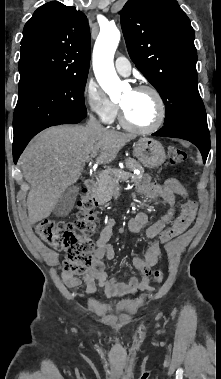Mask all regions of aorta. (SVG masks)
Wrapping results in <instances>:
<instances>
[{
  "label": "aorta",
  "instance_id": "aorta-1",
  "mask_svg": "<svg viewBox=\"0 0 221 379\" xmlns=\"http://www.w3.org/2000/svg\"><path fill=\"white\" fill-rule=\"evenodd\" d=\"M120 41V31L115 26L101 29L93 50V69L102 89L116 100L121 95V81L114 68V54Z\"/></svg>",
  "mask_w": 221,
  "mask_h": 379
}]
</instances>
